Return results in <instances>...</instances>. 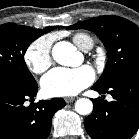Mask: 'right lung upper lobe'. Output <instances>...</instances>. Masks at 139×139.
I'll list each match as a JSON object with an SVG mask.
<instances>
[{
	"instance_id": "cb5924a9",
	"label": "right lung upper lobe",
	"mask_w": 139,
	"mask_h": 139,
	"mask_svg": "<svg viewBox=\"0 0 139 139\" xmlns=\"http://www.w3.org/2000/svg\"><path fill=\"white\" fill-rule=\"evenodd\" d=\"M55 28H56L55 26H51V27H46L44 29H39V30L44 34V32L51 31Z\"/></svg>"
}]
</instances>
